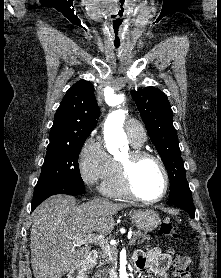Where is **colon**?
Returning <instances> with one entry per match:
<instances>
[{"mask_svg":"<svg viewBox=\"0 0 221 278\" xmlns=\"http://www.w3.org/2000/svg\"><path fill=\"white\" fill-rule=\"evenodd\" d=\"M159 234L162 237H169L172 239L178 238V233L174 225L169 219H164L159 227ZM189 259L183 255H176L174 262V273L178 278H189Z\"/></svg>","mask_w":221,"mask_h":278,"instance_id":"1","label":"colon"}]
</instances>
